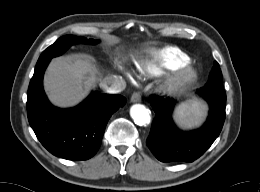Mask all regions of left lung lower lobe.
<instances>
[{"instance_id":"0a47b994","label":"left lung lower lobe","mask_w":260,"mask_h":192,"mask_svg":"<svg viewBox=\"0 0 260 192\" xmlns=\"http://www.w3.org/2000/svg\"><path fill=\"white\" fill-rule=\"evenodd\" d=\"M197 94L210 107L206 123L197 130L183 132L174 125L171 113L175 101L151 97L150 103L156 113L147 146L162 162H193L199 158L218 137L225 120L226 94L223 87H203Z\"/></svg>"}]
</instances>
